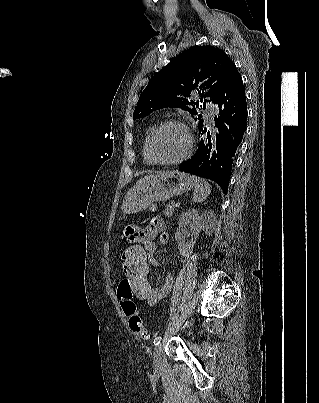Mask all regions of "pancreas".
Returning <instances> with one entry per match:
<instances>
[{
	"label": "pancreas",
	"instance_id": "obj_1",
	"mask_svg": "<svg viewBox=\"0 0 319 403\" xmlns=\"http://www.w3.org/2000/svg\"><path fill=\"white\" fill-rule=\"evenodd\" d=\"M175 205L172 203L166 206V209L163 211V215L167 218H170L175 210Z\"/></svg>",
	"mask_w": 319,
	"mask_h": 403
}]
</instances>
